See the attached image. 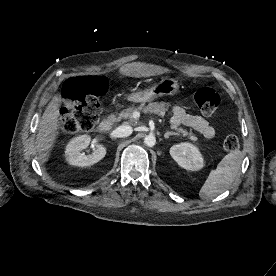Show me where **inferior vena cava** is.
<instances>
[{"instance_id": "inferior-vena-cava-1", "label": "inferior vena cava", "mask_w": 276, "mask_h": 276, "mask_svg": "<svg viewBox=\"0 0 276 276\" xmlns=\"http://www.w3.org/2000/svg\"><path fill=\"white\" fill-rule=\"evenodd\" d=\"M133 129L129 125H121L116 128L115 133L118 137H128L132 134Z\"/></svg>"}]
</instances>
